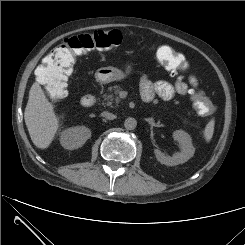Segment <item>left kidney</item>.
<instances>
[{"label":"left kidney","instance_id":"1","mask_svg":"<svg viewBox=\"0 0 245 245\" xmlns=\"http://www.w3.org/2000/svg\"><path fill=\"white\" fill-rule=\"evenodd\" d=\"M173 138L181 146V152L174 154L173 156H166L160 150L155 149L154 153L156 159L167 166H175L187 162L195 152V148L192 145V139L188 133L183 130H176L173 133Z\"/></svg>","mask_w":245,"mask_h":245}]
</instances>
